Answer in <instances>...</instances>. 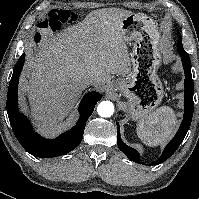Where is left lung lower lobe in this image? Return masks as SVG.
Masks as SVG:
<instances>
[{"instance_id": "1", "label": "left lung lower lobe", "mask_w": 199, "mask_h": 199, "mask_svg": "<svg viewBox=\"0 0 199 199\" xmlns=\"http://www.w3.org/2000/svg\"><path fill=\"white\" fill-rule=\"evenodd\" d=\"M178 52L182 58V64L184 68L185 73V93H184V105H185V111L183 116V121L181 123V126L174 136V138L169 142V144L165 147L162 155L160 158L154 162V165H158L166 161L179 147L183 139L185 138V135L187 131L189 130V127L191 125V120L193 116L194 111V102H193V94H194V85H193V79L191 74V61L189 58L188 53L182 48L178 47ZM117 123V145L118 148L132 161L138 162L140 161V155L138 151L135 149L127 146L120 137V127L119 123ZM152 164V165H153Z\"/></svg>"}]
</instances>
